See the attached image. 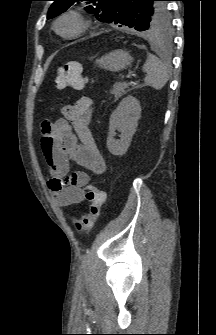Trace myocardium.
<instances>
[{
	"label": "myocardium",
	"mask_w": 216,
	"mask_h": 335,
	"mask_svg": "<svg viewBox=\"0 0 216 335\" xmlns=\"http://www.w3.org/2000/svg\"><path fill=\"white\" fill-rule=\"evenodd\" d=\"M70 19L75 22L76 27L70 33H62L59 30V25L64 21ZM90 27V22L88 19L79 11L70 10L61 14L54 22L55 32L65 39H73L80 36Z\"/></svg>",
	"instance_id": "1"
}]
</instances>
